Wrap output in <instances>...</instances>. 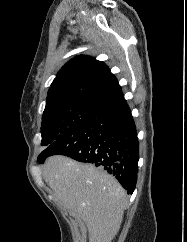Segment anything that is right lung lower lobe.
Here are the masks:
<instances>
[{
  "instance_id": "right-lung-lower-lobe-1",
  "label": "right lung lower lobe",
  "mask_w": 187,
  "mask_h": 242,
  "mask_svg": "<svg viewBox=\"0 0 187 242\" xmlns=\"http://www.w3.org/2000/svg\"><path fill=\"white\" fill-rule=\"evenodd\" d=\"M139 145L131 111L123 98L50 144L38 161L61 154L92 163L116 177L132 194L137 181Z\"/></svg>"
}]
</instances>
